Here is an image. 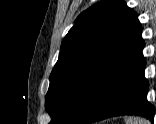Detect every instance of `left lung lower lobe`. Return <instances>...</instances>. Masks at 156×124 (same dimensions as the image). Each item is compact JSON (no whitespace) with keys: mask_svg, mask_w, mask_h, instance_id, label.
Returning <instances> with one entry per match:
<instances>
[{"mask_svg":"<svg viewBox=\"0 0 156 124\" xmlns=\"http://www.w3.org/2000/svg\"><path fill=\"white\" fill-rule=\"evenodd\" d=\"M144 42L114 68L91 100L78 124H89L113 116L140 115L153 122L155 109L147 101L148 82L142 55Z\"/></svg>","mask_w":156,"mask_h":124,"instance_id":"0a47b994","label":"left lung lower lobe"}]
</instances>
